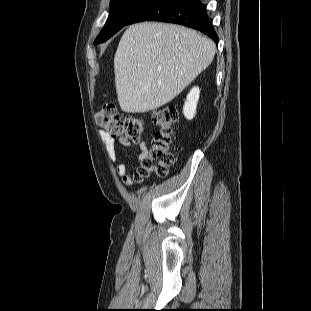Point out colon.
Listing matches in <instances>:
<instances>
[{
  "label": "colon",
  "instance_id": "colon-1",
  "mask_svg": "<svg viewBox=\"0 0 311 311\" xmlns=\"http://www.w3.org/2000/svg\"><path fill=\"white\" fill-rule=\"evenodd\" d=\"M152 119L158 130L137 169V180L151 174L164 176L173 163V127L177 120L174 108L166 106L153 112ZM97 124L105 130L133 142L140 141L145 121L134 116L120 115L112 104H105L96 114Z\"/></svg>",
  "mask_w": 311,
  "mask_h": 311
}]
</instances>
